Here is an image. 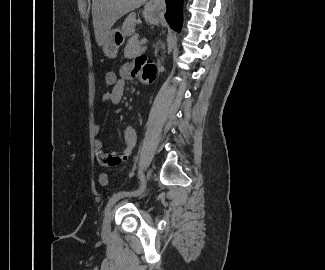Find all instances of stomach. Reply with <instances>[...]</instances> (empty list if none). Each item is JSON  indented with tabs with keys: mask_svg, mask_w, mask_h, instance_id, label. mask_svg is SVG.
Segmentation results:
<instances>
[{
	"mask_svg": "<svg viewBox=\"0 0 325 270\" xmlns=\"http://www.w3.org/2000/svg\"><path fill=\"white\" fill-rule=\"evenodd\" d=\"M143 16L148 23L158 24L160 21V12L150 5H146ZM125 41V34L120 30H110L103 45V52L109 58H115L119 47Z\"/></svg>",
	"mask_w": 325,
	"mask_h": 270,
	"instance_id": "obj_1",
	"label": "stomach"
}]
</instances>
